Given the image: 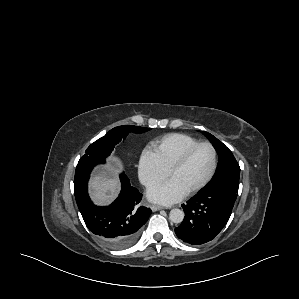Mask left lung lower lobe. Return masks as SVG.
<instances>
[{"instance_id": "0a47b994", "label": "left lung lower lobe", "mask_w": 299, "mask_h": 299, "mask_svg": "<svg viewBox=\"0 0 299 299\" xmlns=\"http://www.w3.org/2000/svg\"><path fill=\"white\" fill-rule=\"evenodd\" d=\"M236 198L226 189L199 191L182 205L185 218L175 228L177 237L192 245L211 241L228 222Z\"/></svg>"}]
</instances>
